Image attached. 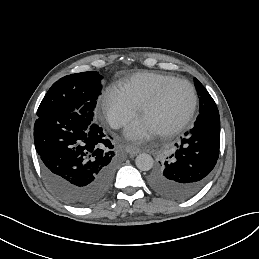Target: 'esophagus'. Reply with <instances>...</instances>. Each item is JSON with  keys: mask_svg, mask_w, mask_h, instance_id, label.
<instances>
[{"mask_svg": "<svg viewBox=\"0 0 259 259\" xmlns=\"http://www.w3.org/2000/svg\"><path fill=\"white\" fill-rule=\"evenodd\" d=\"M126 152L129 154H132V155H136V154H139L141 152V150L135 146L127 145Z\"/></svg>", "mask_w": 259, "mask_h": 259, "instance_id": "esophagus-1", "label": "esophagus"}]
</instances>
